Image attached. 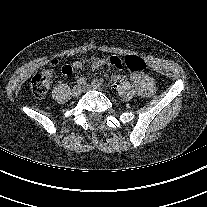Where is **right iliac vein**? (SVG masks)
<instances>
[{
	"instance_id": "obj_1",
	"label": "right iliac vein",
	"mask_w": 207,
	"mask_h": 207,
	"mask_svg": "<svg viewBox=\"0 0 207 207\" xmlns=\"http://www.w3.org/2000/svg\"><path fill=\"white\" fill-rule=\"evenodd\" d=\"M82 93V88L80 85H75L72 89V95L74 97H79Z\"/></svg>"
}]
</instances>
